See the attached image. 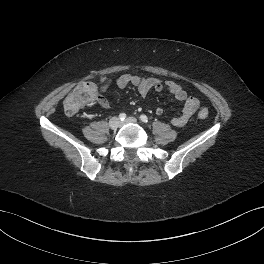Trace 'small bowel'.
Wrapping results in <instances>:
<instances>
[{
    "instance_id": "c3829d8e",
    "label": "small bowel",
    "mask_w": 264,
    "mask_h": 264,
    "mask_svg": "<svg viewBox=\"0 0 264 264\" xmlns=\"http://www.w3.org/2000/svg\"><path fill=\"white\" fill-rule=\"evenodd\" d=\"M99 83L100 86L95 101L102 108L108 109L110 105L103 93L112 84V80L103 76L100 78ZM115 83L119 88H126L130 85L134 86L141 96H146L151 91L160 92L166 90L171 93L176 100L184 103L181 113L171 119V124L175 127L184 126L200 106V102L197 98L189 96L178 83L172 80L163 81L156 77L123 74L116 78ZM155 112L157 115H162L163 109L157 108Z\"/></svg>"
}]
</instances>
